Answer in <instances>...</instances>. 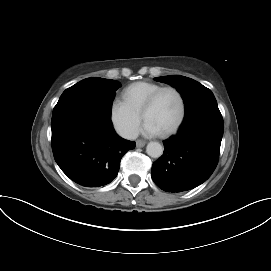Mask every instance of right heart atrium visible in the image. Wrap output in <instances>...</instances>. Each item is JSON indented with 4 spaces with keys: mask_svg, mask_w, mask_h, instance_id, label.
I'll use <instances>...</instances> for the list:
<instances>
[{
    "mask_svg": "<svg viewBox=\"0 0 271 271\" xmlns=\"http://www.w3.org/2000/svg\"><path fill=\"white\" fill-rule=\"evenodd\" d=\"M109 119L114 130L123 138H132L141 123V115L133 111L123 100H112Z\"/></svg>",
    "mask_w": 271,
    "mask_h": 271,
    "instance_id": "d8ad5b80",
    "label": "right heart atrium"
}]
</instances>
